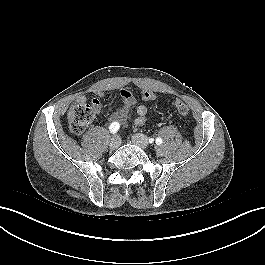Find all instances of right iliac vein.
<instances>
[{
    "instance_id": "right-iliac-vein-1",
    "label": "right iliac vein",
    "mask_w": 265,
    "mask_h": 265,
    "mask_svg": "<svg viewBox=\"0 0 265 265\" xmlns=\"http://www.w3.org/2000/svg\"><path fill=\"white\" fill-rule=\"evenodd\" d=\"M120 144H121L120 137L119 136H114L109 142V148L111 150H115V149H117L120 146Z\"/></svg>"
}]
</instances>
